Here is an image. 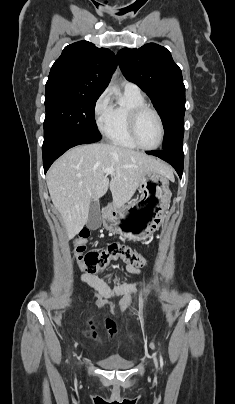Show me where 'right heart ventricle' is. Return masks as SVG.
<instances>
[{
	"instance_id": "1",
	"label": "right heart ventricle",
	"mask_w": 235,
	"mask_h": 404,
	"mask_svg": "<svg viewBox=\"0 0 235 404\" xmlns=\"http://www.w3.org/2000/svg\"><path fill=\"white\" fill-rule=\"evenodd\" d=\"M123 103L112 105L107 123L102 130L107 140L120 147L128 149L139 148L131 139L128 131V120L131 110L146 104L141 92L124 90Z\"/></svg>"
}]
</instances>
